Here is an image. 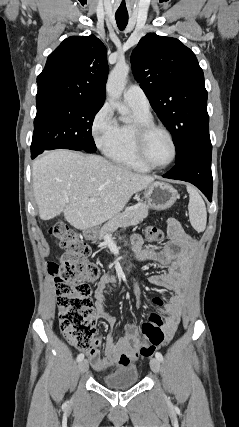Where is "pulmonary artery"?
<instances>
[{
    "mask_svg": "<svg viewBox=\"0 0 239 427\" xmlns=\"http://www.w3.org/2000/svg\"><path fill=\"white\" fill-rule=\"evenodd\" d=\"M124 101L143 111H150V104L144 91L138 85H130L123 92Z\"/></svg>",
    "mask_w": 239,
    "mask_h": 427,
    "instance_id": "obj_1",
    "label": "pulmonary artery"
}]
</instances>
